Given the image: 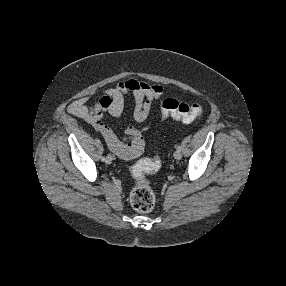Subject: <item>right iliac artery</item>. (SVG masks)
I'll use <instances>...</instances> for the list:
<instances>
[{
  "label": "right iliac artery",
  "mask_w": 286,
  "mask_h": 286,
  "mask_svg": "<svg viewBox=\"0 0 286 286\" xmlns=\"http://www.w3.org/2000/svg\"><path fill=\"white\" fill-rule=\"evenodd\" d=\"M106 160V158L105 157H102V161H105Z\"/></svg>",
  "instance_id": "right-iliac-artery-1"
}]
</instances>
